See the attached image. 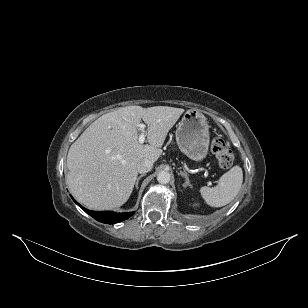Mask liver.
<instances>
[{
  "instance_id": "6515ba94",
  "label": "liver",
  "mask_w": 308,
  "mask_h": 308,
  "mask_svg": "<svg viewBox=\"0 0 308 308\" xmlns=\"http://www.w3.org/2000/svg\"><path fill=\"white\" fill-rule=\"evenodd\" d=\"M183 112L169 106H127L96 119L67 155V185L76 200L94 210L122 206L133 191L137 164L158 160L169 130ZM141 119L148 125L146 145L138 141Z\"/></svg>"
}]
</instances>
